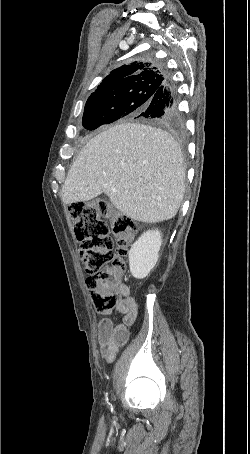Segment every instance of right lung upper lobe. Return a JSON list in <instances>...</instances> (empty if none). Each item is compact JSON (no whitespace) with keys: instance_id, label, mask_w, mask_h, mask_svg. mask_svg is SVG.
<instances>
[{"instance_id":"cb5924a9","label":"right lung upper lobe","mask_w":250,"mask_h":454,"mask_svg":"<svg viewBox=\"0 0 250 454\" xmlns=\"http://www.w3.org/2000/svg\"><path fill=\"white\" fill-rule=\"evenodd\" d=\"M167 77L164 68L150 60L123 65L102 80L86 104L105 98H119L141 85L152 84L161 89Z\"/></svg>"}]
</instances>
